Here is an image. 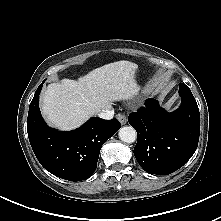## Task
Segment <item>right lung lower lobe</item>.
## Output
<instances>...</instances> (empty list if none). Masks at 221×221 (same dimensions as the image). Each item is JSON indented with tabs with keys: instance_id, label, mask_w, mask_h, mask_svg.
<instances>
[{
	"instance_id": "obj_1",
	"label": "right lung lower lobe",
	"mask_w": 221,
	"mask_h": 221,
	"mask_svg": "<svg viewBox=\"0 0 221 221\" xmlns=\"http://www.w3.org/2000/svg\"><path fill=\"white\" fill-rule=\"evenodd\" d=\"M37 88L30 103L27 131L31 147L40 164L53 175L80 181L89 178L97 167L101 147L121 127L117 119L93 117L80 128L61 132L49 128L39 110Z\"/></svg>"
}]
</instances>
